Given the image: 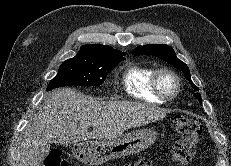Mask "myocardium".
Returning a JSON list of instances; mask_svg holds the SVG:
<instances>
[{
  "mask_svg": "<svg viewBox=\"0 0 231 166\" xmlns=\"http://www.w3.org/2000/svg\"><path fill=\"white\" fill-rule=\"evenodd\" d=\"M165 74L169 75L175 82V89L172 94H167L161 87L160 79ZM150 85L152 92L163 101L174 100L179 95L181 90V80L179 76L175 71L167 67H162L154 71Z\"/></svg>",
  "mask_w": 231,
  "mask_h": 166,
  "instance_id": "myocardium-1",
  "label": "myocardium"
}]
</instances>
